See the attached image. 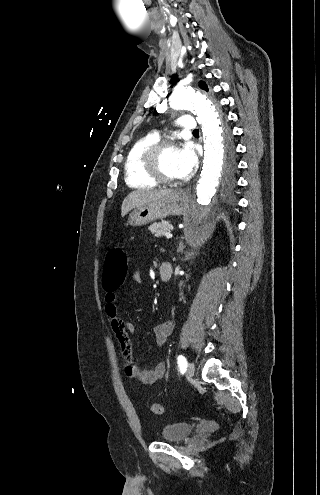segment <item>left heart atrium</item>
Masks as SVG:
<instances>
[{"mask_svg": "<svg viewBox=\"0 0 320 495\" xmlns=\"http://www.w3.org/2000/svg\"><path fill=\"white\" fill-rule=\"evenodd\" d=\"M177 163L180 172V178H185L191 175L196 167L197 158L190 146L185 145L178 149Z\"/></svg>", "mask_w": 320, "mask_h": 495, "instance_id": "39dd6f15", "label": "left heart atrium"}]
</instances>
